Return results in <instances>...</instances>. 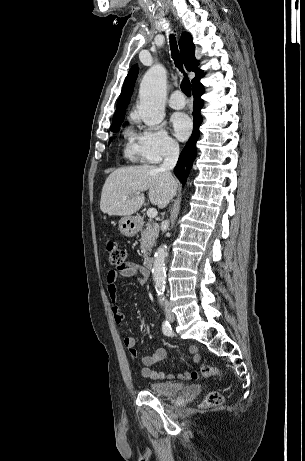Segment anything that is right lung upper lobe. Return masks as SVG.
Here are the masks:
<instances>
[{"instance_id": "obj_1", "label": "right lung upper lobe", "mask_w": 305, "mask_h": 461, "mask_svg": "<svg viewBox=\"0 0 305 461\" xmlns=\"http://www.w3.org/2000/svg\"><path fill=\"white\" fill-rule=\"evenodd\" d=\"M179 47H180V53L181 57L183 60V63L188 71H194L195 72V78L192 80V85L195 83L199 82L200 78L203 77V71L198 69V60L195 58V45L192 42V36L187 33L183 32L181 35V38L179 40ZM138 74V67L137 65H134L126 79L120 94V97L117 102V109L114 113L113 116V122H118V121H123L124 120V109H126L130 97L133 92V87L135 84V80L137 78Z\"/></svg>"}]
</instances>
